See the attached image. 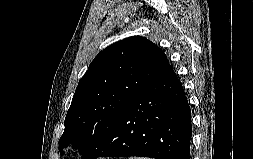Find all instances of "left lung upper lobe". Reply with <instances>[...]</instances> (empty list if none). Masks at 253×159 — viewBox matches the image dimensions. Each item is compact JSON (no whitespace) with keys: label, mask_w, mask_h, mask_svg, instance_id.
<instances>
[{"label":"left lung upper lobe","mask_w":253,"mask_h":159,"mask_svg":"<svg viewBox=\"0 0 253 159\" xmlns=\"http://www.w3.org/2000/svg\"><path fill=\"white\" fill-rule=\"evenodd\" d=\"M168 66L164 52L144 37L126 38L101 51L78 83L59 140L60 153L74 142L82 159H94L124 107Z\"/></svg>","instance_id":"1"}]
</instances>
